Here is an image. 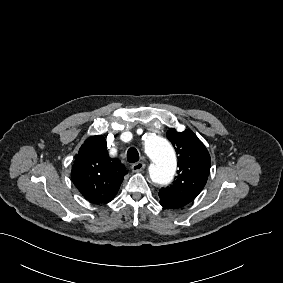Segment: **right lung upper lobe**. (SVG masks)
<instances>
[{
  "instance_id": "1",
  "label": "right lung upper lobe",
  "mask_w": 283,
  "mask_h": 283,
  "mask_svg": "<svg viewBox=\"0 0 283 283\" xmlns=\"http://www.w3.org/2000/svg\"><path fill=\"white\" fill-rule=\"evenodd\" d=\"M118 159L108 155L104 136H93L81 145L73 162L71 178L80 193L95 204L108 203L127 174Z\"/></svg>"
}]
</instances>
